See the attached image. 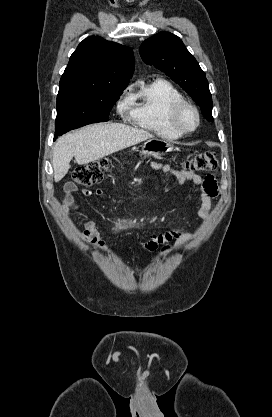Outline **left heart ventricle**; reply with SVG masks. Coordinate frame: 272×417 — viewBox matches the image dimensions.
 Returning a JSON list of instances; mask_svg holds the SVG:
<instances>
[{"mask_svg":"<svg viewBox=\"0 0 272 417\" xmlns=\"http://www.w3.org/2000/svg\"><path fill=\"white\" fill-rule=\"evenodd\" d=\"M181 124L185 128H192L195 125V115L191 110H185L181 116Z\"/></svg>","mask_w":272,"mask_h":417,"instance_id":"obj_1","label":"left heart ventricle"}]
</instances>
